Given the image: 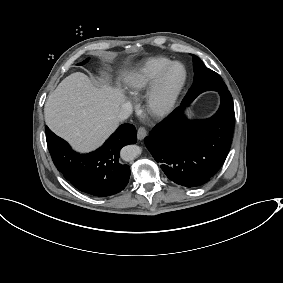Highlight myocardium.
<instances>
[{
    "mask_svg": "<svg viewBox=\"0 0 283 283\" xmlns=\"http://www.w3.org/2000/svg\"><path fill=\"white\" fill-rule=\"evenodd\" d=\"M181 65L183 68V78L177 87L166 97L162 96L161 86L164 77L169 70L175 66ZM188 81V70L184 63L180 61H172L167 64L151 82L147 94L145 96V110L153 117H164L169 115L175 108L177 101L183 92Z\"/></svg>",
    "mask_w": 283,
    "mask_h": 283,
    "instance_id": "myocardium-1",
    "label": "myocardium"
}]
</instances>
